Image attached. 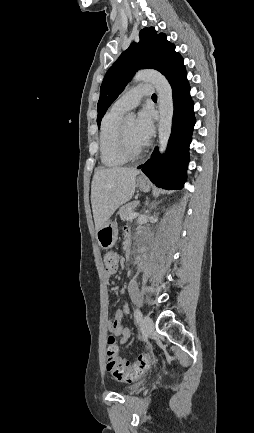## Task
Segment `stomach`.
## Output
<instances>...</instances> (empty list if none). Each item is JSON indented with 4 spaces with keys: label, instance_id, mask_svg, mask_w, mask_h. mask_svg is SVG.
<instances>
[{
    "label": "stomach",
    "instance_id": "obj_1",
    "mask_svg": "<svg viewBox=\"0 0 254 433\" xmlns=\"http://www.w3.org/2000/svg\"><path fill=\"white\" fill-rule=\"evenodd\" d=\"M137 187L144 192H148L150 189L149 182L142 177L137 179ZM117 234H118L117 225L114 222L108 220L96 232V238H97L98 244L103 249L111 248L116 243Z\"/></svg>",
    "mask_w": 254,
    "mask_h": 433
}]
</instances>
